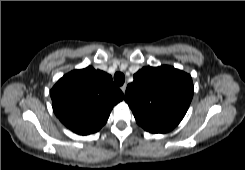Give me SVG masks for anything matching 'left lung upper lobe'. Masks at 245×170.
Masks as SVG:
<instances>
[{
	"label": "left lung upper lobe",
	"mask_w": 245,
	"mask_h": 170,
	"mask_svg": "<svg viewBox=\"0 0 245 170\" xmlns=\"http://www.w3.org/2000/svg\"><path fill=\"white\" fill-rule=\"evenodd\" d=\"M192 97L191 76L167 65L142 68L125 92L136 122L151 133L174 129L185 116Z\"/></svg>",
	"instance_id": "obj_1"
}]
</instances>
